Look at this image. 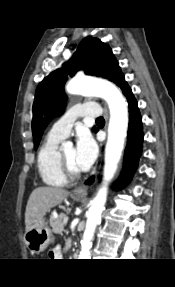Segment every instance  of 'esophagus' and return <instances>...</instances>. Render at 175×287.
I'll return each instance as SVG.
<instances>
[{"label": "esophagus", "instance_id": "1", "mask_svg": "<svg viewBox=\"0 0 175 287\" xmlns=\"http://www.w3.org/2000/svg\"><path fill=\"white\" fill-rule=\"evenodd\" d=\"M105 116H106V119H108V112L106 108H105ZM88 188L89 187L87 185H81V186L76 187L73 193L76 195L86 196L88 194Z\"/></svg>", "mask_w": 175, "mask_h": 287}]
</instances>
